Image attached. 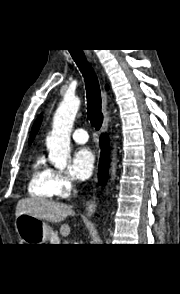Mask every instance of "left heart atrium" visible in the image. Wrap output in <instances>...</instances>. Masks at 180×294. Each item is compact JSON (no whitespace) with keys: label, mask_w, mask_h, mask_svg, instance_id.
Returning a JSON list of instances; mask_svg holds the SVG:
<instances>
[{"label":"left heart atrium","mask_w":180,"mask_h":294,"mask_svg":"<svg viewBox=\"0 0 180 294\" xmlns=\"http://www.w3.org/2000/svg\"><path fill=\"white\" fill-rule=\"evenodd\" d=\"M95 156L89 148L78 149L72 159L71 172L79 180H86L94 170Z\"/></svg>","instance_id":"left-heart-atrium-1"}]
</instances>
